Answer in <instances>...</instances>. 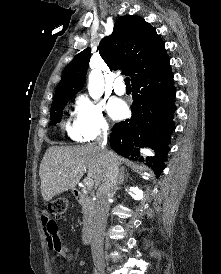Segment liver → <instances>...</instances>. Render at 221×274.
<instances>
[{
  "instance_id": "obj_1",
  "label": "liver",
  "mask_w": 221,
  "mask_h": 274,
  "mask_svg": "<svg viewBox=\"0 0 221 274\" xmlns=\"http://www.w3.org/2000/svg\"><path fill=\"white\" fill-rule=\"evenodd\" d=\"M113 153V152H112ZM118 165L122 158L113 153ZM99 187L104 176L103 151L96 145L52 146L47 149L40 164L41 194L44 201L74 189L85 172Z\"/></svg>"
}]
</instances>
